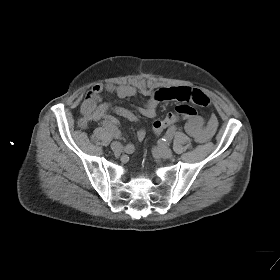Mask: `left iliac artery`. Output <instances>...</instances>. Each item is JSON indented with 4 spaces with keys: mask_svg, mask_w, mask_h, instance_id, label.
Listing matches in <instances>:
<instances>
[{
    "mask_svg": "<svg viewBox=\"0 0 280 280\" xmlns=\"http://www.w3.org/2000/svg\"><path fill=\"white\" fill-rule=\"evenodd\" d=\"M176 130H177V126L176 125L170 126L168 128V130H167L163 140L164 141H171L173 136H174V134H175V132H176Z\"/></svg>",
    "mask_w": 280,
    "mask_h": 280,
    "instance_id": "obj_1",
    "label": "left iliac artery"
}]
</instances>
